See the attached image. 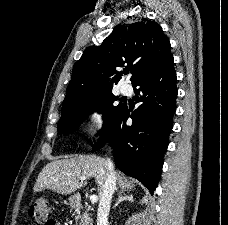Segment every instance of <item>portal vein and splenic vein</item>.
<instances>
[{
	"label": "portal vein and splenic vein",
	"instance_id": "1",
	"mask_svg": "<svg viewBox=\"0 0 228 225\" xmlns=\"http://www.w3.org/2000/svg\"><path fill=\"white\" fill-rule=\"evenodd\" d=\"M86 179L87 177H81V181H86ZM90 201L91 203H96V201H98V197H96V195H91Z\"/></svg>",
	"mask_w": 228,
	"mask_h": 225
}]
</instances>
